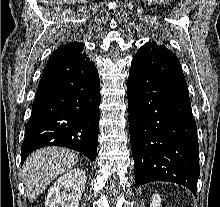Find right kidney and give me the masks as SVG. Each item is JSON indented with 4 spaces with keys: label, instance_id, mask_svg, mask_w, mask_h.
<instances>
[{
    "label": "right kidney",
    "instance_id": "1",
    "mask_svg": "<svg viewBox=\"0 0 220 207\" xmlns=\"http://www.w3.org/2000/svg\"><path fill=\"white\" fill-rule=\"evenodd\" d=\"M86 174L80 168L60 176L48 192L46 207H79L85 189Z\"/></svg>",
    "mask_w": 220,
    "mask_h": 207
}]
</instances>
